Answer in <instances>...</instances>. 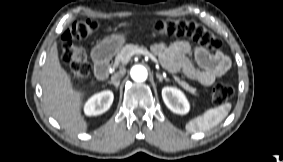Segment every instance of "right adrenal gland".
<instances>
[{"label": "right adrenal gland", "instance_id": "obj_1", "mask_svg": "<svg viewBox=\"0 0 283 162\" xmlns=\"http://www.w3.org/2000/svg\"><path fill=\"white\" fill-rule=\"evenodd\" d=\"M108 84L114 85L116 89H118L120 82L115 83V82L109 81Z\"/></svg>", "mask_w": 283, "mask_h": 162}]
</instances>
